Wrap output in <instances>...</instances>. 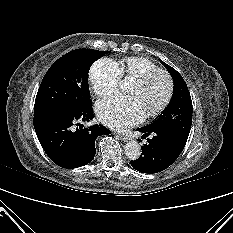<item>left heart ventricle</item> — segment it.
<instances>
[{"instance_id": "left-heart-ventricle-1", "label": "left heart ventricle", "mask_w": 233, "mask_h": 233, "mask_svg": "<svg viewBox=\"0 0 233 233\" xmlns=\"http://www.w3.org/2000/svg\"><path fill=\"white\" fill-rule=\"evenodd\" d=\"M167 81L164 76L156 75L145 85L132 83L129 93L141 101L146 112L159 106L167 94Z\"/></svg>"}]
</instances>
